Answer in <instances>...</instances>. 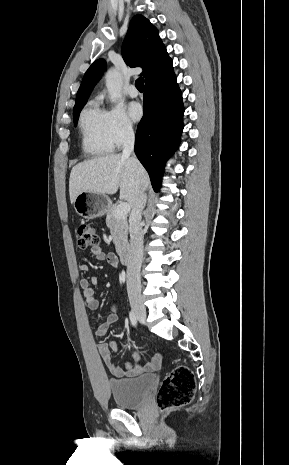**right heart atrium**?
I'll use <instances>...</instances> for the list:
<instances>
[{"label":"right heart atrium","mask_w":289,"mask_h":465,"mask_svg":"<svg viewBox=\"0 0 289 465\" xmlns=\"http://www.w3.org/2000/svg\"><path fill=\"white\" fill-rule=\"evenodd\" d=\"M106 124L114 146L120 147L134 138L132 122L121 106L114 105L106 111Z\"/></svg>","instance_id":"d8ad5b80"}]
</instances>
